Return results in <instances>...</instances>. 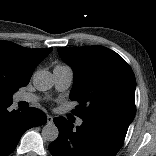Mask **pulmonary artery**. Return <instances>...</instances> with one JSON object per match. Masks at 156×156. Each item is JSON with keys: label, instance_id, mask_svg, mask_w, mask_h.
<instances>
[{"label": "pulmonary artery", "instance_id": "obj_1", "mask_svg": "<svg viewBox=\"0 0 156 156\" xmlns=\"http://www.w3.org/2000/svg\"><path fill=\"white\" fill-rule=\"evenodd\" d=\"M53 76H54V84L55 88L58 91H65L67 90L72 82H73V71L72 69L67 65H61L58 64L53 69ZM38 97L31 93H21L18 95L17 100L18 101H24V102H36L38 101ZM77 125H82V120H77Z\"/></svg>", "mask_w": 156, "mask_h": 156}]
</instances>
